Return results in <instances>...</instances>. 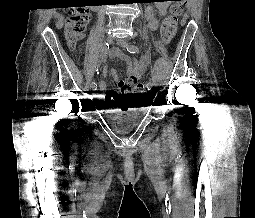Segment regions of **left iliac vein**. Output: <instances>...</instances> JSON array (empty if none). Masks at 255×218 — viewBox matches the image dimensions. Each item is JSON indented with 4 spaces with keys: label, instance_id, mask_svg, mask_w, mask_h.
Wrapping results in <instances>:
<instances>
[{
    "label": "left iliac vein",
    "instance_id": "left-iliac-vein-1",
    "mask_svg": "<svg viewBox=\"0 0 255 218\" xmlns=\"http://www.w3.org/2000/svg\"><path fill=\"white\" fill-rule=\"evenodd\" d=\"M116 43H117L120 47L125 48V49H127V47L129 46V43H128L127 41H125V40H122V39H117V40H116Z\"/></svg>",
    "mask_w": 255,
    "mask_h": 218
}]
</instances>
